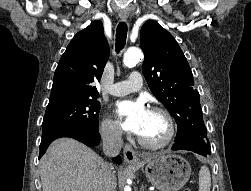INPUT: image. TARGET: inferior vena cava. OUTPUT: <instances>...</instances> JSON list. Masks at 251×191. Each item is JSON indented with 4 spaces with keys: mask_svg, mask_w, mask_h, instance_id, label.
I'll use <instances>...</instances> for the list:
<instances>
[{
    "mask_svg": "<svg viewBox=\"0 0 251 191\" xmlns=\"http://www.w3.org/2000/svg\"><path fill=\"white\" fill-rule=\"evenodd\" d=\"M122 127L119 123H113L111 127H106L105 131H102L103 139V151L108 157H115L121 151L123 145L122 139ZM107 183H115L116 177L114 171L110 175H105ZM104 191H111V189H104Z\"/></svg>",
    "mask_w": 251,
    "mask_h": 191,
    "instance_id": "obj_1",
    "label": "inferior vena cava"
}]
</instances>
